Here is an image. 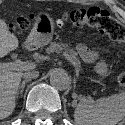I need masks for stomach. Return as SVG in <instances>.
Instances as JSON below:
<instances>
[{"instance_id":"stomach-1","label":"stomach","mask_w":125,"mask_h":125,"mask_svg":"<svg viewBox=\"0 0 125 125\" xmlns=\"http://www.w3.org/2000/svg\"><path fill=\"white\" fill-rule=\"evenodd\" d=\"M35 20L33 29L27 38V44L31 48H39L50 43L54 32V22L48 15L45 16L40 13ZM95 71L102 76H106L107 65L103 61L98 62Z\"/></svg>"}]
</instances>
